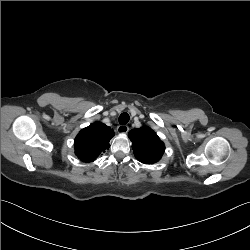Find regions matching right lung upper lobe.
Masks as SVG:
<instances>
[{"instance_id":"cb5924a9","label":"right lung upper lobe","mask_w":250,"mask_h":250,"mask_svg":"<svg viewBox=\"0 0 250 250\" xmlns=\"http://www.w3.org/2000/svg\"><path fill=\"white\" fill-rule=\"evenodd\" d=\"M114 131L101 122L82 129L74 140L75 154L83 162L94 161L101 152L108 150Z\"/></svg>"}]
</instances>
